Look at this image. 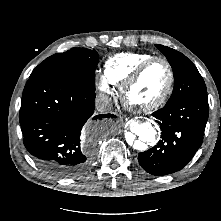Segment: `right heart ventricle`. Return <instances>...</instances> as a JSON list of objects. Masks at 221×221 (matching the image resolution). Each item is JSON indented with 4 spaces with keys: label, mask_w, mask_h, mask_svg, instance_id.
Returning <instances> with one entry per match:
<instances>
[{
    "label": "right heart ventricle",
    "mask_w": 221,
    "mask_h": 221,
    "mask_svg": "<svg viewBox=\"0 0 221 221\" xmlns=\"http://www.w3.org/2000/svg\"><path fill=\"white\" fill-rule=\"evenodd\" d=\"M152 57L155 56L145 52L117 54L106 61L105 77L113 85H122L139 65Z\"/></svg>",
    "instance_id": "obj_1"
}]
</instances>
